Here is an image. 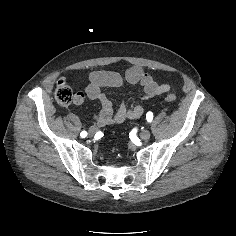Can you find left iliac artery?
I'll return each mask as SVG.
<instances>
[{"label": "left iliac artery", "mask_w": 236, "mask_h": 236, "mask_svg": "<svg viewBox=\"0 0 236 236\" xmlns=\"http://www.w3.org/2000/svg\"><path fill=\"white\" fill-rule=\"evenodd\" d=\"M146 119H147L148 122H151L152 119H153V113L152 112H148L146 114Z\"/></svg>", "instance_id": "left-iliac-artery-1"}]
</instances>
